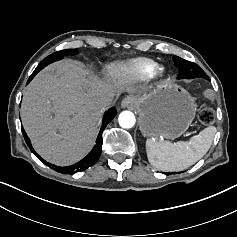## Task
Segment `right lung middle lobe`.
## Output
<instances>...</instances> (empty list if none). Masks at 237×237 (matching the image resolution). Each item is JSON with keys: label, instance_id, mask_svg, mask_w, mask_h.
Returning <instances> with one entry per match:
<instances>
[{"label": "right lung middle lobe", "instance_id": "1", "mask_svg": "<svg viewBox=\"0 0 237 237\" xmlns=\"http://www.w3.org/2000/svg\"><path fill=\"white\" fill-rule=\"evenodd\" d=\"M77 53H78L77 49H66L55 52L47 56L44 60H42L33 73L35 74L38 73L45 66L62 59L65 55H76Z\"/></svg>", "mask_w": 237, "mask_h": 237}]
</instances>
